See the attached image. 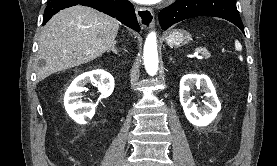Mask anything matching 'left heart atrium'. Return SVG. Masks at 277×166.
<instances>
[{"instance_id": "1", "label": "left heart atrium", "mask_w": 277, "mask_h": 166, "mask_svg": "<svg viewBox=\"0 0 277 166\" xmlns=\"http://www.w3.org/2000/svg\"><path fill=\"white\" fill-rule=\"evenodd\" d=\"M138 3H143V4H154L157 3L160 0H133Z\"/></svg>"}]
</instances>
